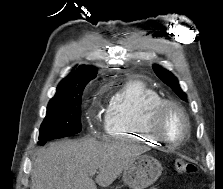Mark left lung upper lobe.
I'll return each instance as SVG.
<instances>
[{"label": "left lung upper lobe", "instance_id": "obj_1", "mask_svg": "<svg viewBox=\"0 0 223 189\" xmlns=\"http://www.w3.org/2000/svg\"><path fill=\"white\" fill-rule=\"evenodd\" d=\"M156 75L168 85L182 100H186V96L181 90L177 79L166 69L155 65L153 67Z\"/></svg>", "mask_w": 223, "mask_h": 189}]
</instances>
